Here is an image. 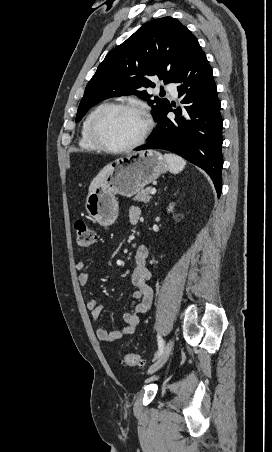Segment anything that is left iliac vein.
Returning a JSON list of instances; mask_svg holds the SVG:
<instances>
[{"mask_svg":"<svg viewBox=\"0 0 272 452\" xmlns=\"http://www.w3.org/2000/svg\"><path fill=\"white\" fill-rule=\"evenodd\" d=\"M172 348H173V340H169L166 343V345H165L162 353L158 357V359L148 368V370H147L148 374L155 373L166 363V361L168 360V358L170 356Z\"/></svg>","mask_w":272,"mask_h":452,"instance_id":"left-iliac-vein-1","label":"left iliac vein"}]
</instances>
